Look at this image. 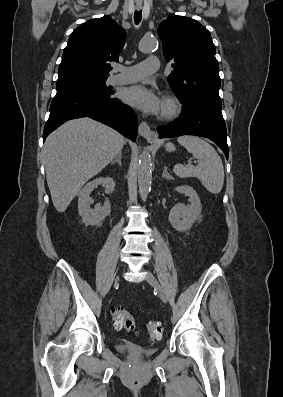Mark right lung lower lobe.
<instances>
[{"instance_id": "right-lung-lower-lobe-1", "label": "right lung lower lobe", "mask_w": 283, "mask_h": 397, "mask_svg": "<svg viewBox=\"0 0 283 397\" xmlns=\"http://www.w3.org/2000/svg\"><path fill=\"white\" fill-rule=\"evenodd\" d=\"M90 117L104 123L132 141L137 136V117L133 110L113 97V93L71 90L56 94L43 131V141L64 122Z\"/></svg>"}]
</instances>
